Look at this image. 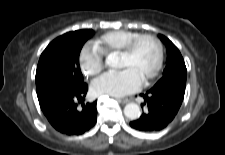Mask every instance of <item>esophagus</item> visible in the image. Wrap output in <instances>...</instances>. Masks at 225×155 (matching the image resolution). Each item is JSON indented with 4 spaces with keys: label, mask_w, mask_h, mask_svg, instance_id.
<instances>
[{
    "label": "esophagus",
    "mask_w": 225,
    "mask_h": 155,
    "mask_svg": "<svg viewBox=\"0 0 225 155\" xmlns=\"http://www.w3.org/2000/svg\"><path fill=\"white\" fill-rule=\"evenodd\" d=\"M132 100V98H123V99H117V101L126 104L128 102H130Z\"/></svg>",
    "instance_id": "34e87169"
}]
</instances>
